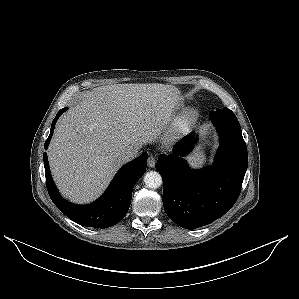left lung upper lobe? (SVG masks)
<instances>
[{"label": "left lung upper lobe", "mask_w": 299, "mask_h": 299, "mask_svg": "<svg viewBox=\"0 0 299 299\" xmlns=\"http://www.w3.org/2000/svg\"><path fill=\"white\" fill-rule=\"evenodd\" d=\"M225 109V108H224ZM222 109V110H224ZM222 110H218V112L222 111ZM218 112H211L210 115L213 116L214 114L218 113Z\"/></svg>", "instance_id": "1"}]
</instances>
